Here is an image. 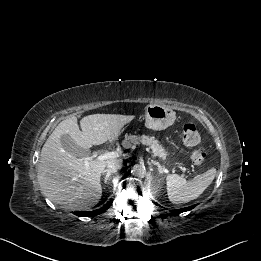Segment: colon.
Returning a JSON list of instances; mask_svg holds the SVG:
<instances>
[{"label": "colon", "instance_id": "5ec220e1", "mask_svg": "<svg viewBox=\"0 0 261 261\" xmlns=\"http://www.w3.org/2000/svg\"><path fill=\"white\" fill-rule=\"evenodd\" d=\"M200 139V133L194 124L187 123L184 125L183 141L187 146L194 148L191 152V160L196 165L202 164L206 158V151L198 147Z\"/></svg>", "mask_w": 261, "mask_h": 261}]
</instances>
